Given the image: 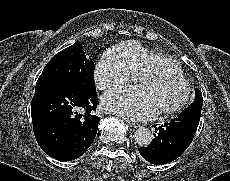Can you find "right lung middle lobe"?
<instances>
[{"label": "right lung middle lobe", "mask_w": 230, "mask_h": 181, "mask_svg": "<svg viewBox=\"0 0 230 181\" xmlns=\"http://www.w3.org/2000/svg\"><path fill=\"white\" fill-rule=\"evenodd\" d=\"M94 63L88 60L82 44L72 46L57 53L46 65L37 80L36 88L42 86L67 85L86 92H95Z\"/></svg>", "instance_id": "dd1d6c3e"}]
</instances>
